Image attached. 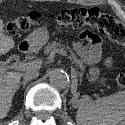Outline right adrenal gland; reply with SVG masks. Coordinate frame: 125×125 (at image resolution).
Returning a JSON list of instances; mask_svg holds the SVG:
<instances>
[{
    "mask_svg": "<svg viewBox=\"0 0 125 125\" xmlns=\"http://www.w3.org/2000/svg\"><path fill=\"white\" fill-rule=\"evenodd\" d=\"M29 82V80H23L22 82H20L17 86V91L19 90L20 86L23 85V88H25V85Z\"/></svg>",
    "mask_w": 125,
    "mask_h": 125,
    "instance_id": "1",
    "label": "right adrenal gland"
}]
</instances>
